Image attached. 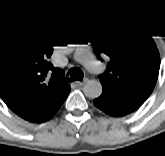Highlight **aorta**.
Returning a JSON list of instances; mask_svg holds the SVG:
<instances>
[{
    "label": "aorta",
    "instance_id": "1",
    "mask_svg": "<svg viewBox=\"0 0 165 156\" xmlns=\"http://www.w3.org/2000/svg\"><path fill=\"white\" fill-rule=\"evenodd\" d=\"M76 45L74 44H69L67 47H60L64 48V50L70 52L74 50ZM83 92L84 94L92 99L98 98L101 93H102V85L98 80H89L88 82L85 83L83 87Z\"/></svg>",
    "mask_w": 165,
    "mask_h": 156
}]
</instances>
